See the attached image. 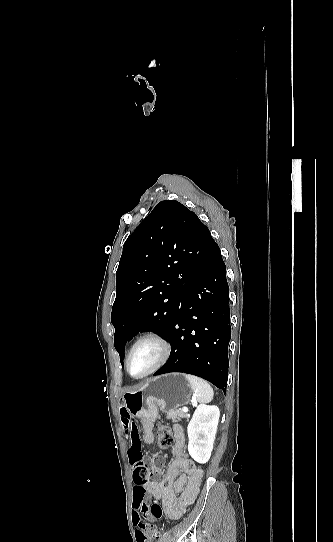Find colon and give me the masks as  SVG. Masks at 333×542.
I'll use <instances>...</instances> for the list:
<instances>
[{"mask_svg": "<svg viewBox=\"0 0 333 542\" xmlns=\"http://www.w3.org/2000/svg\"><path fill=\"white\" fill-rule=\"evenodd\" d=\"M155 434L157 444L160 448L172 447L176 441V435L165 424L157 425ZM129 467L134 469V479L136 482H139L133 486L135 507L132 511L130 522L133 525L139 524L138 534L143 533L147 538H152L158 532L156 522L162 517L163 510L157 502L146 501L148 486L144 482L151 475L146 463L141 458H131L129 460ZM157 468L155 464V469Z\"/></svg>", "mask_w": 333, "mask_h": 542, "instance_id": "colon-1", "label": "colon"}]
</instances>
